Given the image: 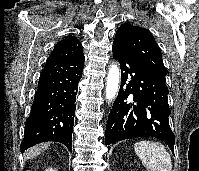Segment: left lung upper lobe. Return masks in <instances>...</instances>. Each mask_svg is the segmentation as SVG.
I'll use <instances>...</instances> for the list:
<instances>
[{
    "instance_id": "obj_1",
    "label": "left lung upper lobe",
    "mask_w": 199,
    "mask_h": 171,
    "mask_svg": "<svg viewBox=\"0 0 199 171\" xmlns=\"http://www.w3.org/2000/svg\"><path fill=\"white\" fill-rule=\"evenodd\" d=\"M113 44L122 47L137 60L166 76L160 48L147 29L125 23L117 30Z\"/></svg>"
}]
</instances>
